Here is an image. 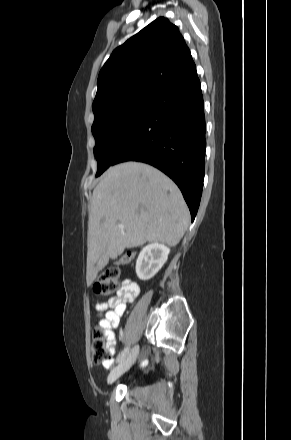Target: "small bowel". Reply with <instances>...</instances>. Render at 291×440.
<instances>
[{
    "label": "small bowel",
    "instance_id": "c3829d8e",
    "mask_svg": "<svg viewBox=\"0 0 291 440\" xmlns=\"http://www.w3.org/2000/svg\"><path fill=\"white\" fill-rule=\"evenodd\" d=\"M139 293L140 287L136 283L126 280L123 282L121 295L111 298L107 303L97 304L95 307L98 311H106L105 317L100 321V325L107 338V347L111 352V356L115 354L116 347L113 329L119 325L120 319L125 314L128 305L134 302ZM112 364V359L103 362V366L106 369H109Z\"/></svg>",
    "mask_w": 291,
    "mask_h": 440
}]
</instances>
